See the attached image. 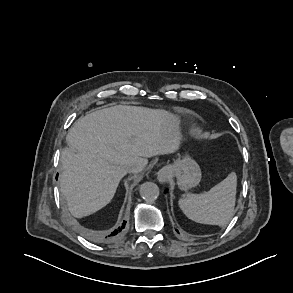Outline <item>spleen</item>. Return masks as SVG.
<instances>
[{
  "label": "spleen",
  "mask_w": 293,
  "mask_h": 293,
  "mask_svg": "<svg viewBox=\"0 0 293 293\" xmlns=\"http://www.w3.org/2000/svg\"><path fill=\"white\" fill-rule=\"evenodd\" d=\"M237 176L231 172L223 181L201 194H184L179 206L191 220L209 225L225 226L234 215Z\"/></svg>",
  "instance_id": "obj_1"
}]
</instances>
